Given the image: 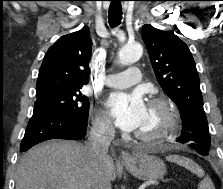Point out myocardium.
Listing matches in <instances>:
<instances>
[{"instance_id": "myocardium-1", "label": "myocardium", "mask_w": 223, "mask_h": 189, "mask_svg": "<svg viewBox=\"0 0 223 189\" xmlns=\"http://www.w3.org/2000/svg\"><path fill=\"white\" fill-rule=\"evenodd\" d=\"M148 106L157 109L163 114V121L153 131H137L135 136L144 142H153L175 133L180 124L179 112L174 103L164 97L155 96L149 99Z\"/></svg>"}]
</instances>
